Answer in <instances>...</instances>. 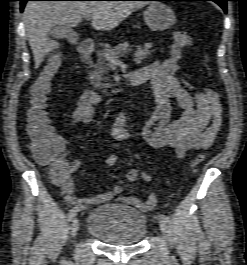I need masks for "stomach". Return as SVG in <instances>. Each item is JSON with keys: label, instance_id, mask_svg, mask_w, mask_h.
Masks as SVG:
<instances>
[{"label": "stomach", "instance_id": "obj_1", "mask_svg": "<svg viewBox=\"0 0 247 265\" xmlns=\"http://www.w3.org/2000/svg\"><path fill=\"white\" fill-rule=\"evenodd\" d=\"M143 15L146 24L153 31L168 29L176 23L173 10L160 2L151 3Z\"/></svg>", "mask_w": 247, "mask_h": 265}]
</instances>
